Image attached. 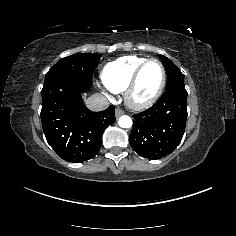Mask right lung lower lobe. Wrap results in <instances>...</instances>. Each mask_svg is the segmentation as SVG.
<instances>
[{
  "mask_svg": "<svg viewBox=\"0 0 236 236\" xmlns=\"http://www.w3.org/2000/svg\"><path fill=\"white\" fill-rule=\"evenodd\" d=\"M92 84L75 76H62L44 82L41 91V121L47 142L63 160L82 163L93 158L102 144L104 130L112 125L115 108L92 112L81 93Z\"/></svg>",
  "mask_w": 236,
  "mask_h": 236,
  "instance_id": "1",
  "label": "right lung lower lobe"
}]
</instances>
